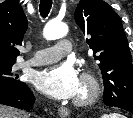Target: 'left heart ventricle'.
Here are the masks:
<instances>
[{
  "instance_id": "1",
  "label": "left heart ventricle",
  "mask_w": 133,
  "mask_h": 118,
  "mask_svg": "<svg viewBox=\"0 0 133 118\" xmlns=\"http://www.w3.org/2000/svg\"><path fill=\"white\" fill-rule=\"evenodd\" d=\"M80 94H82V85H81V89H80L78 95H80ZM78 95H77V96H78Z\"/></svg>"
}]
</instances>
